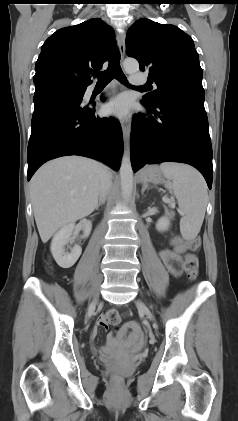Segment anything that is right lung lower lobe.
<instances>
[{"mask_svg": "<svg viewBox=\"0 0 238 421\" xmlns=\"http://www.w3.org/2000/svg\"><path fill=\"white\" fill-rule=\"evenodd\" d=\"M85 90L55 83L36 86L27 150L28 181L43 163L65 155L90 157L119 170L121 126L115 119L96 117L94 104L84 106Z\"/></svg>", "mask_w": 238, "mask_h": 421, "instance_id": "obj_1", "label": "right lung lower lobe"}]
</instances>
